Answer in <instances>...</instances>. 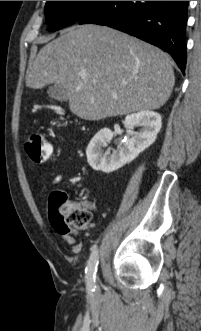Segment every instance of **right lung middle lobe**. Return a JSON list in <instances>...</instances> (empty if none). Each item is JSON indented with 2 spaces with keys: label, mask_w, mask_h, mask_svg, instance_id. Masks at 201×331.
<instances>
[{
  "label": "right lung middle lobe",
  "mask_w": 201,
  "mask_h": 331,
  "mask_svg": "<svg viewBox=\"0 0 201 331\" xmlns=\"http://www.w3.org/2000/svg\"><path fill=\"white\" fill-rule=\"evenodd\" d=\"M105 1H47L45 16L48 30L54 31L78 22Z\"/></svg>",
  "instance_id": "1"
}]
</instances>
